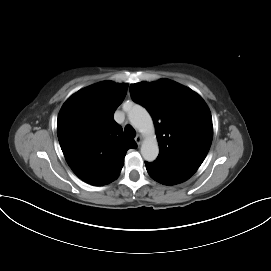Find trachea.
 Segmentation results:
<instances>
[{
  "instance_id": "1",
  "label": "trachea",
  "mask_w": 271,
  "mask_h": 271,
  "mask_svg": "<svg viewBox=\"0 0 271 271\" xmlns=\"http://www.w3.org/2000/svg\"><path fill=\"white\" fill-rule=\"evenodd\" d=\"M124 131L130 137H134L136 135V131L134 130V128L131 125H127L125 127Z\"/></svg>"
}]
</instances>
